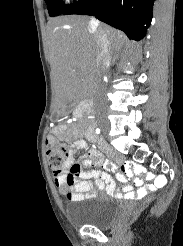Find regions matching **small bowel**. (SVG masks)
<instances>
[{"instance_id":"small-bowel-1","label":"small bowel","mask_w":183,"mask_h":246,"mask_svg":"<svg viewBox=\"0 0 183 246\" xmlns=\"http://www.w3.org/2000/svg\"><path fill=\"white\" fill-rule=\"evenodd\" d=\"M59 131L68 139L74 135L73 133L65 132L64 127H60ZM87 133L93 132L90 130L86 132V135ZM86 149L87 142L84 139L75 140L67 148V159L64 167L61 170L52 171L54 185L68 201L78 202L92 197L93 183L91 179H95L97 188L105 189L107 194L122 198L140 199L154 192L158 187L157 185L166 184L165 180H160L165 178L164 174H144L145 169L142 166L125 163L121 166L122 173L117 174V179L122 184V188H116L115 181L108 171H116L118 167L112 162L105 161L99 150L89 149L78 162H74L73 155L77 150ZM93 166L101 167V169L84 171V169H89ZM69 171L76 172L69 173ZM137 175H140V178H136ZM127 179H135V184L139 187L136 193H133V188ZM142 179L156 180H154L153 184L144 185Z\"/></svg>"}]
</instances>
